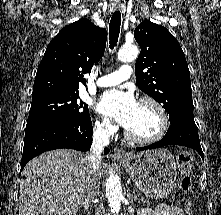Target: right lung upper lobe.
Listing matches in <instances>:
<instances>
[{
  "label": "right lung upper lobe",
  "instance_id": "1",
  "mask_svg": "<svg viewBox=\"0 0 221 215\" xmlns=\"http://www.w3.org/2000/svg\"><path fill=\"white\" fill-rule=\"evenodd\" d=\"M107 33L82 18L64 27L48 44L38 66L32 101L55 94L76 93L83 74L103 55Z\"/></svg>",
  "mask_w": 221,
  "mask_h": 215
}]
</instances>
